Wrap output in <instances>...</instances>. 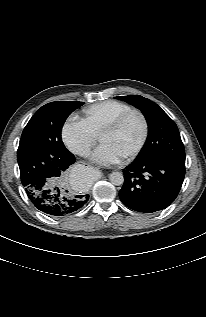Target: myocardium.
<instances>
[{"label":"myocardium","instance_id":"obj_1","mask_svg":"<svg viewBox=\"0 0 206 317\" xmlns=\"http://www.w3.org/2000/svg\"><path fill=\"white\" fill-rule=\"evenodd\" d=\"M132 115H137L141 119L142 135L138 144L128 154L124 156L125 159H131L137 156L143 150L144 146L147 143V140L149 137V122L144 112L141 111L140 109L131 108L130 110L124 112L123 114L111 120L100 133V137H101L103 134L116 131Z\"/></svg>","mask_w":206,"mask_h":317}]
</instances>
